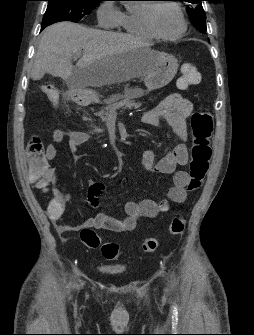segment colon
Instances as JSON below:
<instances>
[{
	"label": "colon",
	"instance_id": "obj_1",
	"mask_svg": "<svg viewBox=\"0 0 254 335\" xmlns=\"http://www.w3.org/2000/svg\"><path fill=\"white\" fill-rule=\"evenodd\" d=\"M200 81V73L191 63H184L181 66V76L178 80L180 88L196 85ZM43 93L48 97L53 106L60 103L57 88L52 84H45L42 87ZM193 144L191 148V160L189 164V178L187 189L197 190L207 173L209 162L212 156L211 137L213 134V118L209 112L195 111L190 119ZM27 174L29 178H38V185H55L56 179L53 172L47 165L43 152V145L38 139H32L27 147ZM56 207V205H53ZM186 220L182 215H175L167 229L168 234L176 236L183 233ZM81 242L88 248L100 249L106 260L118 259L122 251L114 242L103 243L102 239L92 228H83L80 231ZM159 246V239L151 237L144 240L141 251L147 254L154 253Z\"/></svg>",
	"mask_w": 254,
	"mask_h": 335
}]
</instances>
